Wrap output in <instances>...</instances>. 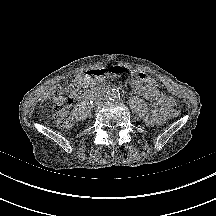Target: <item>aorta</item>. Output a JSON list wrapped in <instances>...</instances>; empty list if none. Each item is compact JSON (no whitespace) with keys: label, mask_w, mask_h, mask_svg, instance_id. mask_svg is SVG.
<instances>
[{"label":"aorta","mask_w":216,"mask_h":216,"mask_svg":"<svg viewBox=\"0 0 216 216\" xmlns=\"http://www.w3.org/2000/svg\"><path fill=\"white\" fill-rule=\"evenodd\" d=\"M118 93L115 91V92H113V95H117Z\"/></svg>","instance_id":"762f6f07"}]
</instances>
